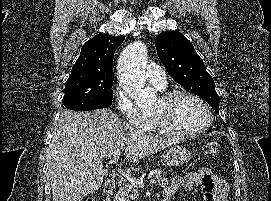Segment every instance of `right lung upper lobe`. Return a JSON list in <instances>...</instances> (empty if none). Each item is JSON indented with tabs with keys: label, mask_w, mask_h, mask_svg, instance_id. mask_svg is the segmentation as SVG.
<instances>
[{
	"label": "right lung upper lobe",
	"mask_w": 271,
	"mask_h": 201,
	"mask_svg": "<svg viewBox=\"0 0 271 201\" xmlns=\"http://www.w3.org/2000/svg\"><path fill=\"white\" fill-rule=\"evenodd\" d=\"M124 39V36L115 37L101 33L95 35L83 45L71 74H113L114 52Z\"/></svg>",
	"instance_id": "obj_1"
}]
</instances>
